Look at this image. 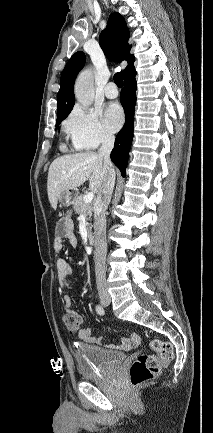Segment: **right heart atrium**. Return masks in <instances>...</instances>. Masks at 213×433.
<instances>
[{"mask_svg":"<svg viewBox=\"0 0 213 433\" xmlns=\"http://www.w3.org/2000/svg\"><path fill=\"white\" fill-rule=\"evenodd\" d=\"M64 130L77 149H95L111 142L112 132L100 119V114L91 109L76 106L64 121Z\"/></svg>","mask_w":213,"mask_h":433,"instance_id":"d8ad5b80","label":"right heart atrium"}]
</instances>
